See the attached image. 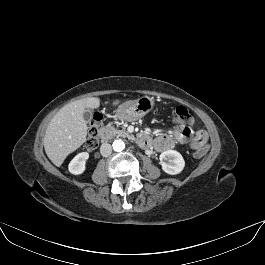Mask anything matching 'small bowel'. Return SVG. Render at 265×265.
<instances>
[{
  "instance_id": "c3829d8e",
  "label": "small bowel",
  "mask_w": 265,
  "mask_h": 265,
  "mask_svg": "<svg viewBox=\"0 0 265 265\" xmlns=\"http://www.w3.org/2000/svg\"><path fill=\"white\" fill-rule=\"evenodd\" d=\"M175 122H179L174 118ZM175 142L187 144L195 151H204L207 143V134L203 130H199L195 136L189 127L184 125L177 126L171 133L162 134L154 140L153 146L157 151H166L172 148Z\"/></svg>"
}]
</instances>
